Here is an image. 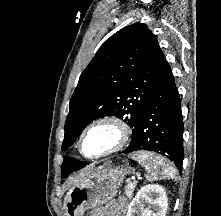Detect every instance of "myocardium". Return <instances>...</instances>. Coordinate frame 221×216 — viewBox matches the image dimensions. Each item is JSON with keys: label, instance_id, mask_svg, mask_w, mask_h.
I'll list each match as a JSON object with an SVG mask.
<instances>
[{"label": "myocardium", "instance_id": "myocardium-1", "mask_svg": "<svg viewBox=\"0 0 221 216\" xmlns=\"http://www.w3.org/2000/svg\"><path fill=\"white\" fill-rule=\"evenodd\" d=\"M100 125H107V126L112 127L115 130L116 135H117L115 142L111 147H109L108 149L98 154L86 155L83 152L84 137L89 131H91L93 128L100 126ZM131 132L132 130H131L130 125L119 117L110 115V116H103V117L97 118L93 120L92 122H90L81 132L79 140H78V150L82 156L88 159H98V158L111 155L121 150L128 143L131 137Z\"/></svg>", "mask_w": 221, "mask_h": 216}]
</instances>
